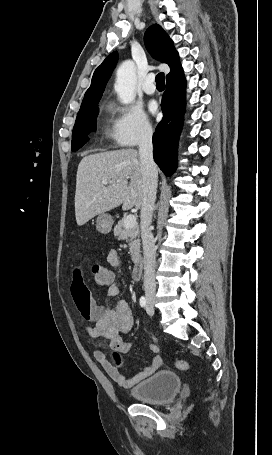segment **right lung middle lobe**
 <instances>
[{"mask_svg":"<svg viewBox=\"0 0 272 455\" xmlns=\"http://www.w3.org/2000/svg\"><path fill=\"white\" fill-rule=\"evenodd\" d=\"M97 104L80 109L72 133V151H77L89 141L87 135L96 130Z\"/></svg>","mask_w":272,"mask_h":455,"instance_id":"dd1d6c3e","label":"right lung middle lobe"}]
</instances>
